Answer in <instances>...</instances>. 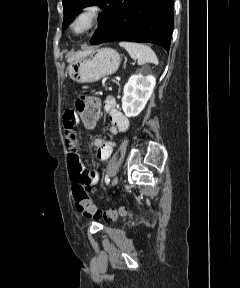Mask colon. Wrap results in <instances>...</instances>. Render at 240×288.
<instances>
[{"label": "colon", "mask_w": 240, "mask_h": 288, "mask_svg": "<svg viewBox=\"0 0 240 288\" xmlns=\"http://www.w3.org/2000/svg\"><path fill=\"white\" fill-rule=\"evenodd\" d=\"M75 110L86 126H94L100 118V101L93 96L79 95L75 99ZM72 194L77 210L87 218H103L110 221L116 219L118 214L126 213L124 208L102 212L94 205L87 190L81 185H73Z\"/></svg>", "instance_id": "colon-1"}]
</instances>
